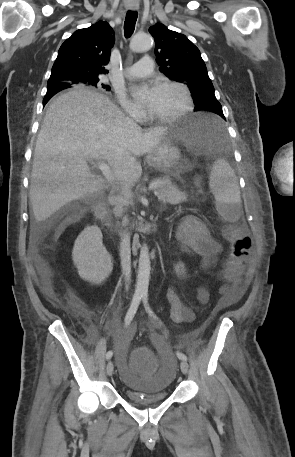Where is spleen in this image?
<instances>
[{
  "mask_svg": "<svg viewBox=\"0 0 295 457\" xmlns=\"http://www.w3.org/2000/svg\"><path fill=\"white\" fill-rule=\"evenodd\" d=\"M209 186L216 199L218 213L227 221L233 220V213L239 209L241 197L237 177L226 161L218 159L214 162Z\"/></svg>",
  "mask_w": 295,
  "mask_h": 457,
  "instance_id": "spleen-1",
  "label": "spleen"
}]
</instances>
